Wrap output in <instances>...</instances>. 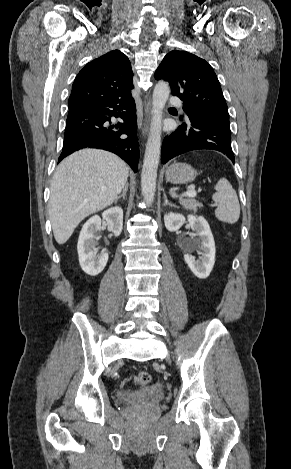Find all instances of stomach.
<instances>
[{
	"label": "stomach",
	"mask_w": 291,
	"mask_h": 469,
	"mask_svg": "<svg viewBox=\"0 0 291 469\" xmlns=\"http://www.w3.org/2000/svg\"><path fill=\"white\" fill-rule=\"evenodd\" d=\"M196 175V170L187 163H173L165 171L167 181L173 184L192 182Z\"/></svg>",
	"instance_id": "obj_1"
}]
</instances>
